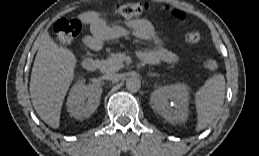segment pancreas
Masks as SVG:
<instances>
[{"label": "pancreas", "mask_w": 259, "mask_h": 156, "mask_svg": "<svg viewBox=\"0 0 259 156\" xmlns=\"http://www.w3.org/2000/svg\"><path fill=\"white\" fill-rule=\"evenodd\" d=\"M123 55L111 53L110 56L102 61L101 71L104 73H111L123 68Z\"/></svg>", "instance_id": "obj_1"}]
</instances>
